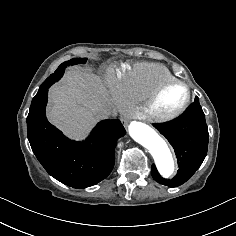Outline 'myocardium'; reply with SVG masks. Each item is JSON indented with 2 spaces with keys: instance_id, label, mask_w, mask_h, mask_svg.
<instances>
[{
  "instance_id": "1",
  "label": "myocardium",
  "mask_w": 236,
  "mask_h": 236,
  "mask_svg": "<svg viewBox=\"0 0 236 236\" xmlns=\"http://www.w3.org/2000/svg\"><path fill=\"white\" fill-rule=\"evenodd\" d=\"M174 86H181L185 89V96L182 103L172 112L162 114L158 111L157 105L163 93ZM191 103V89L187 83L181 80H169L161 83L144 101L143 113L147 121L154 124H166L179 118Z\"/></svg>"
}]
</instances>
